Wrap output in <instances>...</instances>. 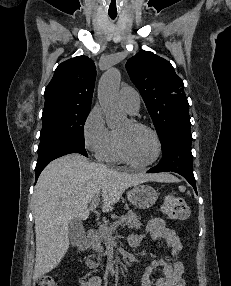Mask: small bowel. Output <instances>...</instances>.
I'll list each match as a JSON object with an SVG mask.
<instances>
[{"mask_svg": "<svg viewBox=\"0 0 231 286\" xmlns=\"http://www.w3.org/2000/svg\"><path fill=\"white\" fill-rule=\"evenodd\" d=\"M145 234H149L154 241H163L170 251L171 261L164 258L154 259L144 270L141 278V286H185L183 275L185 268L183 263L178 260L182 251V243L178 233L165 220L161 218L150 219L141 233L132 234L129 237V244L136 248L139 247ZM157 268H162L163 276L154 283L151 281V274ZM82 286H101L99 276H91L81 279Z\"/></svg>", "mask_w": 231, "mask_h": 286, "instance_id": "obj_1", "label": "small bowel"}]
</instances>
